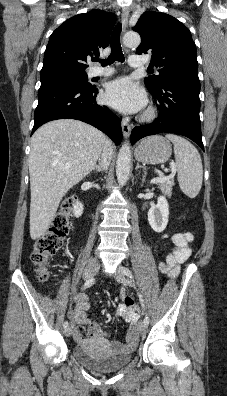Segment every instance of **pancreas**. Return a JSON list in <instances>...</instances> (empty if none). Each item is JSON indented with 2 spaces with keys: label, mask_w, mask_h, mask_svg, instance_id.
<instances>
[{
  "label": "pancreas",
  "mask_w": 227,
  "mask_h": 396,
  "mask_svg": "<svg viewBox=\"0 0 227 396\" xmlns=\"http://www.w3.org/2000/svg\"><path fill=\"white\" fill-rule=\"evenodd\" d=\"M173 186H174V179L169 178L160 183L159 189L162 191V193L170 197L172 194Z\"/></svg>",
  "instance_id": "obj_1"
}]
</instances>
